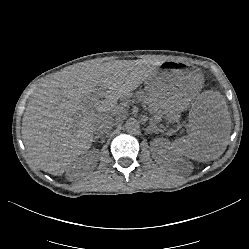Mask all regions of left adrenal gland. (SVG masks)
I'll return each instance as SVG.
<instances>
[{
    "instance_id": "a2214340",
    "label": "left adrenal gland",
    "mask_w": 249,
    "mask_h": 249,
    "mask_svg": "<svg viewBox=\"0 0 249 249\" xmlns=\"http://www.w3.org/2000/svg\"><path fill=\"white\" fill-rule=\"evenodd\" d=\"M146 131L149 132V133H158L159 132V131L155 130V126H148L146 128Z\"/></svg>"
}]
</instances>
